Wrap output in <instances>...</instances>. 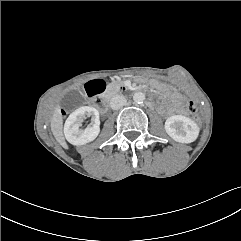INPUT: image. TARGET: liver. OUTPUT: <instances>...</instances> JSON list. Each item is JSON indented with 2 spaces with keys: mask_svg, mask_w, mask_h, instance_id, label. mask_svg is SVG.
Here are the masks:
<instances>
[{
  "mask_svg": "<svg viewBox=\"0 0 241 241\" xmlns=\"http://www.w3.org/2000/svg\"><path fill=\"white\" fill-rule=\"evenodd\" d=\"M51 126L53 133L58 137H62V116L60 115V108L57 109L53 116Z\"/></svg>",
  "mask_w": 241,
  "mask_h": 241,
  "instance_id": "6515ba94",
  "label": "liver"
}]
</instances>
